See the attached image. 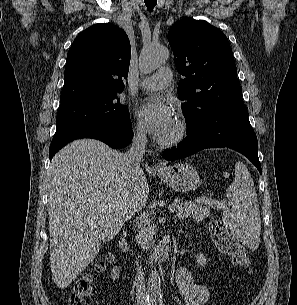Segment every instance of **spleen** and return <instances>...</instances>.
Segmentation results:
<instances>
[{
  "label": "spleen",
  "mask_w": 297,
  "mask_h": 305,
  "mask_svg": "<svg viewBox=\"0 0 297 305\" xmlns=\"http://www.w3.org/2000/svg\"><path fill=\"white\" fill-rule=\"evenodd\" d=\"M229 208L223 212L222 220L227 228L254 250L259 246L261 220L257 194L248 168L243 162L235 164V178L226 190Z\"/></svg>",
  "instance_id": "3e777b00"
}]
</instances>
